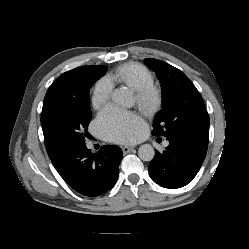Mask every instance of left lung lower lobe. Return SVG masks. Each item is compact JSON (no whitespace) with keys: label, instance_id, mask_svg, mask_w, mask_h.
Returning <instances> with one entry per match:
<instances>
[{"label":"left lung lower lobe","instance_id":"0a47b994","mask_svg":"<svg viewBox=\"0 0 249 249\" xmlns=\"http://www.w3.org/2000/svg\"><path fill=\"white\" fill-rule=\"evenodd\" d=\"M208 144L194 141H173L162 153L155 150L149 164L151 179L164 188L176 189L187 185L199 171Z\"/></svg>","mask_w":249,"mask_h":249}]
</instances>
